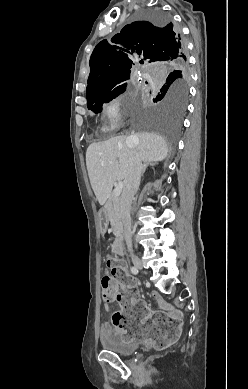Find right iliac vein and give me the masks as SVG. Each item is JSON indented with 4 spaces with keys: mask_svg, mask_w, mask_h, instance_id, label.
Here are the masks:
<instances>
[{
    "mask_svg": "<svg viewBox=\"0 0 248 389\" xmlns=\"http://www.w3.org/2000/svg\"><path fill=\"white\" fill-rule=\"evenodd\" d=\"M131 259L136 268L138 269L143 268V263L139 257H137L136 255H132Z\"/></svg>",
    "mask_w": 248,
    "mask_h": 389,
    "instance_id": "right-iliac-vein-1",
    "label": "right iliac vein"
}]
</instances>
